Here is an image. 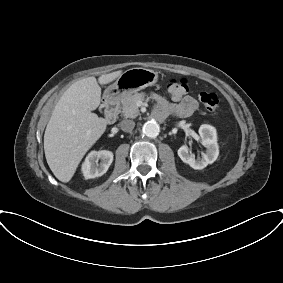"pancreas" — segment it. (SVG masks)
<instances>
[{"label":"pancreas","instance_id":"cf45deb5","mask_svg":"<svg viewBox=\"0 0 283 283\" xmlns=\"http://www.w3.org/2000/svg\"><path fill=\"white\" fill-rule=\"evenodd\" d=\"M145 93L128 94L121 99V105L118 107L122 115L126 118H136L140 115L137 102L145 99ZM150 98L161 101L163 98L155 93H152Z\"/></svg>","mask_w":283,"mask_h":283}]
</instances>
